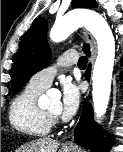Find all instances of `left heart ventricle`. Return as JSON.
<instances>
[{
  "instance_id": "left-heart-ventricle-1",
  "label": "left heart ventricle",
  "mask_w": 123,
  "mask_h": 152,
  "mask_svg": "<svg viewBox=\"0 0 123 152\" xmlns=\"http://www.w3.org/2000/svg\"><path fill=\"white\" fill-rule=\"evenodd\" d=\"M47 111L53 113V114H59L60 111V101L54 100L50 103V105L47 108Z\"/></svg>"
}]
</instances>
